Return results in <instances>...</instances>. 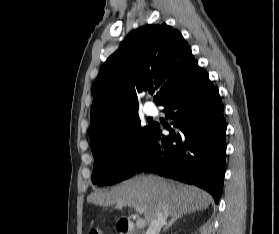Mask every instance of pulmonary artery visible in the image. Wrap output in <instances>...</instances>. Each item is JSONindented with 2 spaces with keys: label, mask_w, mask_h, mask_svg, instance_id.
Masks as SVG:
<instances>
[{
  "label": "pulmonary artery",
  "mask_w": 279,
  "mask_h": 234,
  "mask_svg": "<svg viewBox=\"0 0 279 234\" xmlns=\"http://www.w3.org/2000/svg\"><path fill=\"white\" fill-rule=\"evenodd\" d=\"M144 111L147 115H154L157 112V108L151 102H146L144 105Z\"/></svg>",
  "instance_id": "obj_1"
}]
</instances>
